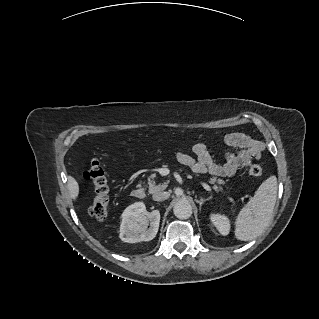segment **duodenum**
<instances>
[{
	"label": "duodenum",
	"instance_id": "1",
	"mask_svg": "<svg viewBox=\"0 0 319 319\" xmlns=\"http://www.w3.org/2000/svg\"><path fill=\"white\" fill-rule=\"evenodd\" d=\"M135 199H143L145 197V190L143 188H136L131 193Z\"/></svg>",
	"mask_w": 319,
	"mask_h": 319
}]
</instances>
